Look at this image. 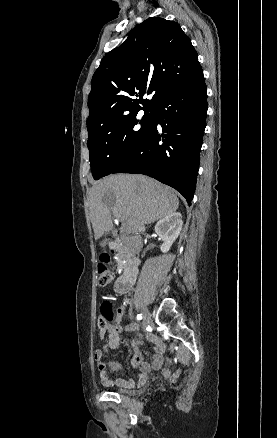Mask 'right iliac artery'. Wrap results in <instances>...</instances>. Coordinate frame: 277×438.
<instances>
[{
	"label": "right iliac artery",
	"mask_w": 277,
	"mask_h": 438,
	"mask_svg": "<svg viewBox=\"0 0 277 438\" xmlns=\"http://www.w3.org/2000/svg\"><path fill=\"white\" fill-rule=\"evenodd\" d=\"M137 319H138V320H141V319H142V314H138V315H137Z\"/></svg>",
	"instance_id": "right-iliac-artery-1"
}]
</instances>
